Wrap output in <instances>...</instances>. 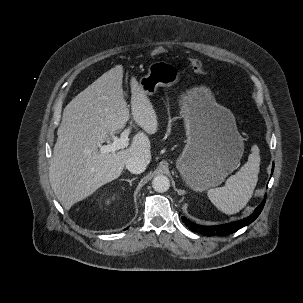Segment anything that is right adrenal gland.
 <instances>
[{"label": "right adrenal gland", "mask_w": 303, "mask_h": 303, "mask_svg": "<svg viewBox=\"0 0 303 303\" xmlns=\"http://www.w3.org/2000/svg\"><path fill=\"white\" fill-rule=\"evenodd\" d=\"M136 179H137V177H134V178H132V179H121V181H126V182L129 183L130 186H132V182H133L134 180H136Z\"/></svg>", "instance_id": "right-adrenal-gland-1"}]
</instances>
